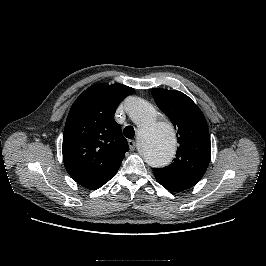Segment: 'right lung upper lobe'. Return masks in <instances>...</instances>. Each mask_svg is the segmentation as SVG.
Here are the masks:
<instances>
[{"label": "right lung upper lobe", "instance_id": "obj_1", "mask_svg": "<svg viewBox=\"0 0 266 266\" xmlns=\"http://www.w3.org/2000/svg\"><path fill=\"white\" fill-rule=\"evenodd\" d=\"M133 88L122 84H94L76 99L63 134V161L81 186L96 190L118 171L129 150L114 113Z\"/></svg>", "mask_w": 266, "mask_h": 266}]
</instances>
